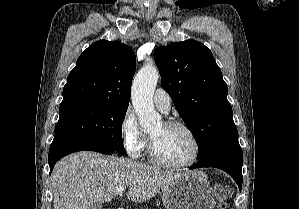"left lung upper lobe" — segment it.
I'll return each mask as SVG.
<instances>
[{
  "label": "left lung upper lobe",
  "instance_id": "5c2ea615",
  "mask_svg": "<svg viewBox=\"0 0 299 209\" xmlns=\"http://www.w3.org/2000/svg\"><path fill=\"white\" fill-rule=\"evenodd\" d=\"M154 56L162 87L193 133L201 160L220 138L237 130L221 70L212 52L192 39L161 46Z\"/></svg>",
  "mask_w": 299,
  "mask_h": 209
}]
</instances>
